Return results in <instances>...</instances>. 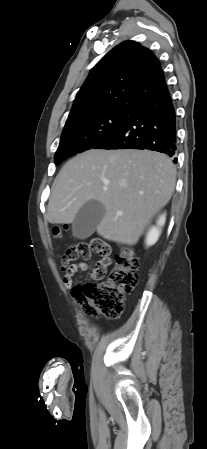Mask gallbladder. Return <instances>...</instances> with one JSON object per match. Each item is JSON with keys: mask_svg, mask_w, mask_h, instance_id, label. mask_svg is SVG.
<instances>
[{"mask_svg": "<svg viewBox=\"0 0 207 449\" xmlns=\"http://www.w3.org/2000/svg\"><path fill=\"white\" fill-rule=\"evenodd\" d=\"M106 209L97 200L86 202L78 211L73 224V235L78 239L90 237L96 230L98 224L103 219Z\"/></svg>", "mask_w": 207, "mask_h": 449, "instance_id": "obj_1", "label": "gallbladder"}]
</instances>
